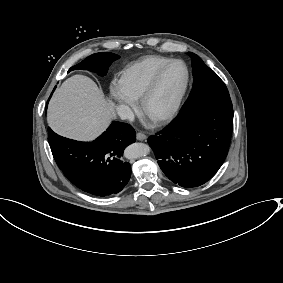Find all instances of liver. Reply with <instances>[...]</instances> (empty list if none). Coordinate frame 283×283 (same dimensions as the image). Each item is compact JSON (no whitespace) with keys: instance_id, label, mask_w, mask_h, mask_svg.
I'll return each mask as SVG.
<instances>
[{"instance_id":"obj_1","label":"liver","mask_w":283,"mask_h":283,"mask_svg":"<svg viewBox=\"0 0 283 283\" xmlns=\"http://www.w3.org/2000/svg\"><path fill=\"white\" fill-rule=\"evenodd\" d=\"M103 93L90 78L75 75L66 80L50 102V127L73 139H92L109 123Z\"/></svg>"}]
</instances>
